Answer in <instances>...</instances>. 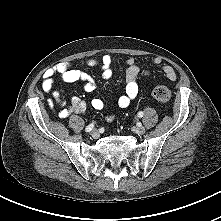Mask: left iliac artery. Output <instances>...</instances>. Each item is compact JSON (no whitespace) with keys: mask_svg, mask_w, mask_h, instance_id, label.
Here are the masks:
<instances>
[{"mask_svg":"<svg viewBox=\"0 0 221 221\" xmlns=\"http://www.w3.org/2000/svg\"><path fill=\"white\" fill-rule=\"evenodd\" d=\"M143 114H144V113H143L142 111L138 112V117H142Z\"/></svg>","mask_w":221,"mask_h":221,"instance_id":"left-iliac-artery-1","label":"left iliac artery"}]
</instances>
